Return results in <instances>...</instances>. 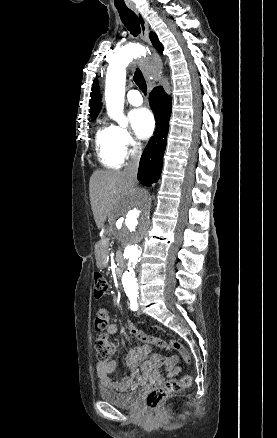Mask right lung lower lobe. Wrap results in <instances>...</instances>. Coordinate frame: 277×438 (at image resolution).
<instances>
[{"label":"right lung lower lobe","instance_id":"98d812e1","mask_svg":"<svg viewBox=\"0 0 277 438\" xmlns=\"http://www.w3.org/2000/svg\"><path fill=\"white\" fill-rule=\"evenodd\" d=\"M149 99L157 127L154 137L149 141L140 160L138 180L145 186L156 183L160 177L172 106L171 97L162 87L154 88Z\"/></svg>","mask_w":277,"mask_h":438}]
</instances>
